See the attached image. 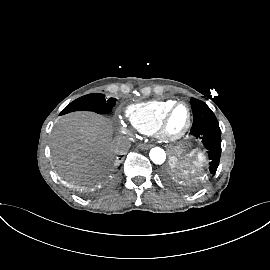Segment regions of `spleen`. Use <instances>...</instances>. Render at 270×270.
Here are the masks:
<instances>
[{"label": "spleen", "mask_w": 270, "mask_h": 270, "mask_svg": "<svg viewBox=\"0 0 270 270\" xmlns=\"http://www.w3.org/2000/svg\"><path fill=\"white\" fill-rule=\"evenodd\" d=\"M197 158H198L199 161H202L203 160V156L201 154H198ZM183 165L185 167H188L189 166V165L185 164L184 160H183Z\"/></svg>", "instance_id": "1"}]
</instances>
